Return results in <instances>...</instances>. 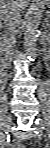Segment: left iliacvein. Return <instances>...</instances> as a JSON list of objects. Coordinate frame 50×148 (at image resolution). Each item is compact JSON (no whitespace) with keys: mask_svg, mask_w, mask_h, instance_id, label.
Returning a JSON list of instances; mask_svg holds the SVG:
<instances>
[{"mask_svg":"<svg viewBox=\"0 0 50 148\" xmlns=\"http://www.w3.org/2000/svg\"><path fill=\"white\" fill-rule=\"evenodd\" d=\"M36 138L41 140L43 138V132L41 126H36Z\"/></svg>","mask_w":50,"mask_h":148,"instance_id":"obj_1","label":"left iliac vein"}]
</instances>
